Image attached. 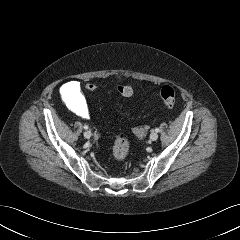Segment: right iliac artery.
Segmentation results:
<instances>
[{
	"label": "right iliac artery",
	"instance_id": "obj_1",
	"mask_svg": "<svg viewBox=\"0 0 240 240\" xmlns=\"http://www.w3.org/2000/svg\"><path fill=\"white\" fill-rule=\"evenodd\" d=\"M84 129H86V130H87V129H88V126H87V125H84Z\"/></svg>",
	"mask_w": 240,
	"mask_h": 240
}]
</instances>
